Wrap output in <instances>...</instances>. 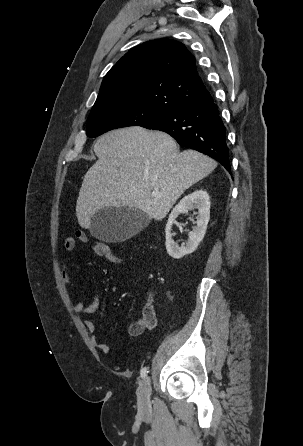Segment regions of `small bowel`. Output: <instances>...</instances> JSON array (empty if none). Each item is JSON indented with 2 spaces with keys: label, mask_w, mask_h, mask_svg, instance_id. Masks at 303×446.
I'll return each instance as SVG.
<instances>
[{
  "label": "small bowel",
  "mask_w": 303,
  "mask_h": 446,
  "mask_svg": "<svg viewBox=\"0 0 303 446\" xmlns=\"http://www.w3.org/2000/svg\"><path fill=\"white\" fill-rule=\"evenodd\" d=\"M76 239L88 245L91 248V250L95 254H97L99 249V242L91 241L86 232L83 230L76 231L75 237L65 238L63 247L67 253H71L74 251L76 246ZM62 267H63L62 270L63 280L71 289H73L74 283L68 274L66 262L62 263ZM99 307H100V296L98 292L95 293L89 305H86L83 300H77L73 302V310L78 315L93 314L99 309ZM156 324H157V317L153 306V301L152 298L149 297L146 304L143 307L141 317L130 322L128 326V333L131 336H139L146 329H153L156 326ZM85 325L87 330L91 334H93L96 331V325L93 321H86ZM93 341L103 353L107 354L110 352V346L108 343L105 342L97 343L95 337H93Z\"/></svg>",
  "instance_id": "small-bowel-1"
}]
</instances>
